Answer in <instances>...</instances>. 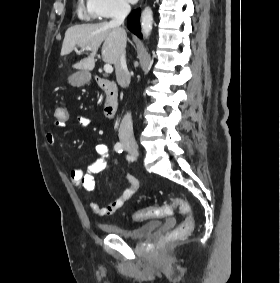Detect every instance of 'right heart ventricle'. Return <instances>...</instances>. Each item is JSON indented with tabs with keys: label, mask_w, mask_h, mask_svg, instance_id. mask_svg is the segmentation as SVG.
<instances>
[{
	"label": "right heart ventricle",
	"mask_w": 280,
	"mask_h": 283,
	"mask_svg": "<svg viewBox=\"0 0 280 283\" xmlns=\"http://www.w3.org/2000/svg\"><path fill=\"white\" fill-rule=\"evenodd\" d=\"M78 13H79L80 16H83L82 9L80 7L78 9Z\"/></svg>",
	"instance_id": "e07e8e85"
}]
</instances>
